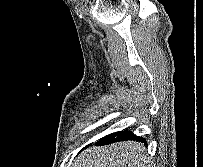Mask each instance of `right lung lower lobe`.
Returning a JSON list of instances; mask_svg holds the SVG:
<instances>
[{"instance_id": "obj_1", "label": "right lung lower lobe", "mask_w": 203, "mask_h": 167, "mask_svg": "<svg viewBox=\"0 0 203 167\" xmlns=\"http://www.w3.org/2000/svg\"><path fill=\"white\" fill-rule=\"evenodd\" d=\"M124 140H138L141 142H145L144 138L136 136L130 131H119L100 139L99 141L96 142V145L98 146L108 145L114 142L124 141Z\"/></svg>"}]
</instances>
